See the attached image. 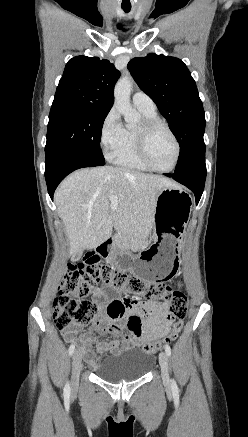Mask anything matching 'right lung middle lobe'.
<instances>
[{"label": "right lung middle lobe", "mask_w": 248, "mask_h": 437, "mask_svg": "<svg viewBox=\"0 0 248 437\" xmlns=\"http://www.w3.org/2000/svg\"><path fill=\"white\" fill-rule=\"evenodd\" d=\"M107 114L71 105H52L45 155L57 150L70 149L104 160L100 139Z\"/></svg>", "instance_id": "obj_1"}]
</instances>
